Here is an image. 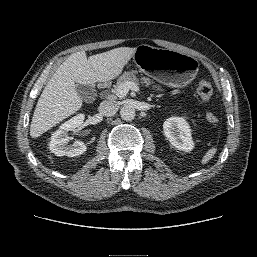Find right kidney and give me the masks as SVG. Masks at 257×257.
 <instances>
[{
  "label": "right kidney",
  "mask_w": 257,
  "mask_h": 257,
  "mask_svg": "<svg viewBox=\"0 0 257 257\" xmlns=\"http://www.w3.org/2000/svg\"><path fill=\"white\" fill-rule=\"evenodd\" d=\"M84 119V114H78L63 123L51 136V141L49 144L50 151L56 156L75 157L84 154L87 147L83 142L77 141L72 146L67 145V143L71 140L68 132L81 126Z\"/></svg>",
  "instance_id": "right-kidney-1"
}]
</instances>
